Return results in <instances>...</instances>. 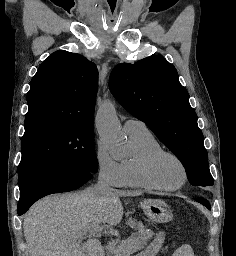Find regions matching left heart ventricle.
Wrapping results in <instances>:
<instances>
[{
    "instance_id": "b2bd125f",
    "label": "left heart ventricle",
    "mask_w": 236,
    "mask_h": 256,
    "mask_svg": "<svg viewBox=\"0 0 236 256\" xmlns=\"http://www.w3.org/2000/svg\"><path fill=\"white\" fill-rule=\"evenodd\" d=\"M155 173L157 179L166 186H177L184 179L183 168L170 156H164L157 162Z\"/></svg>"
}]
</instances>
